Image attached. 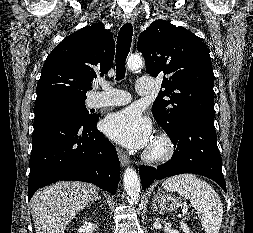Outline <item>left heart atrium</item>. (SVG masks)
I'll return each mask as SVG.
<instances>
[{
	"instance_id": "39dd6f15",
	"label": "left heart atrium",
	"mask_w": 253,
	"mask_h": 233,
	"mask_svg": "<svg viewBox=\"0 0 253 233\" xmlns=\"http://www.w3.org/2000/svg\"><path fill=\"white\" fill-rule=\"evenodd\" d=\"M102 129L108 137L130 148L146 147L152 139V125L137 109L127 108L106 117Z\"/></svg>"
}]
</instances>
